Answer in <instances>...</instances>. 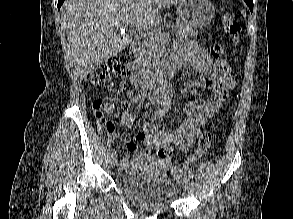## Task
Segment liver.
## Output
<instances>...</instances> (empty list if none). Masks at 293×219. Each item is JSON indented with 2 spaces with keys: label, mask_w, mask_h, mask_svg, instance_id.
Returning <instances> with one entry per match:
<instances>
[{
  "label": "liver",
  "mask_w": 293,
  "mask_h": 219,
  "mask_svg": "<svg viewBox=\"0 0 293 219\" xmlns=\"http://www.w3.org/2000/svg\"><path fill=\"white\" fill-rule=\"evenodd\" d=\"M182 1L66 0L61 11L78 77L125 49L134 37L128 29L151 30L161 22L159 9Z\"/></svg>",
  "instance_id": "1"
}]
</instances>
